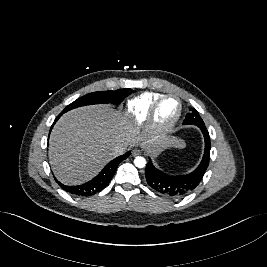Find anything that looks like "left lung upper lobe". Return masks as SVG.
I'll list each match as a JSON object with an SVG mask.
<instances>
[{
    "mask_svg": "<svg viewBox=\"0 0 267 267\" xmlns=\"http://www.w3.org/2000/svg\"><path fill=\"white\" fill-rule=\"evenodd\" d=\"M183 124H193L198 127L205 126L203 120L195 109H192L191 112L186 115Z\"/></svg>",
    "mask_w": 267,
    "mask_h": 267,
    "instance_id": "obj_1",
    "label": "left lung upper lobe"
}]
</instances>
